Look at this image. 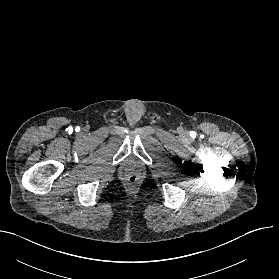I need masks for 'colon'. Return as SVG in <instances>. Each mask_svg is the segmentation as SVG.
Masks as SVG:
<instances>
[{
  "mask_svg": "<svg viewBox=\"0 0 279 279\" xmlns=\"http://www.w3.org/2000/svg\"><path fill=\"white\" fill-rule=\"evenodd\" d=\"M137 180H138V177H137V175H135V174H131V175L128 177V182L131 183V184L136 183Z\"/></svg>",
  "mask_w": 279,
  "mask_h": 279,
  "instance_id": "1",
  "label": "colon"
}]
</instances>
